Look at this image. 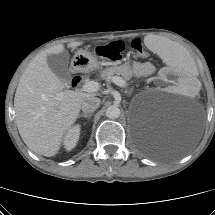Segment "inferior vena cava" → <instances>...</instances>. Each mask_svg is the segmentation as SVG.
<instances>
[{"label":"inferior vena cava","mask_w":215,"mask_h":215,"mask_svg":"<svg viewBox=\"0 0 215 215\" xmlns=\"http://www.w3.org/2000/svg\"><path fill=\"white\" fill-rule=\"evenodd\" d=\"M100 102L97 97H88L82 102L81 109L85 113H92L99 107Z\"/></svg>","instance_id":"inferior-vena-cava-1"}]
</instances>
